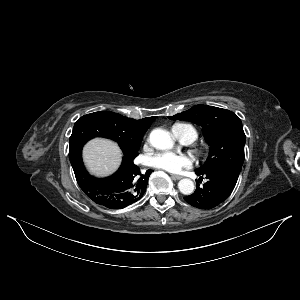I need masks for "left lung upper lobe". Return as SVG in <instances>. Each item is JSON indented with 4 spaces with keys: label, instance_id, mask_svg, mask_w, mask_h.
Returning <instances> with one entry per match:
<instances>
[{
    "label": "left lung upper lobe",
    "instance_id": "obj_1",
    "mask_svg": "<svg viewBox=\"0 0 300 300\" xmlns=\"http://www.w3.org/2000/svg\"><path fill=\"white\" fill-rule=\"evenodd\" d=\"M169 119L190 121L203 127V135L210 146V152L197 172L206 173L217 168L241 171L245 133L242 122L235 113L218 107L197 105Z\"/></svg>",
    "mask_w": 300,
    "mask_h": 300
}]
</instances>
